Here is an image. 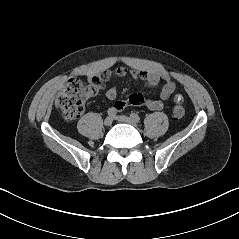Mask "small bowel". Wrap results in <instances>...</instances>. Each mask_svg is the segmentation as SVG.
<instances>
[{
	"instance_id": "obj_1",
	"label": "small bowel",
	"mask_w": 239,
	"mask_h": 239,
	"mask_svg": "<svg viewBox=\"0 0 239 239\" xmlns=\"http://www.w3.org/2000/svg\"><path fill=\"white\" fill-rule=\"evenodd\" d=\"M130 75L133 79L142 80L147 87H155L160 82H164V85L161 89L160 95L158 99H146L140 94H132L126 101H115L112 108H114L117 112L122 111L129 105H140L145 106L146 108L154 111H158L163 109L164 101L168 100L172 97L176 92V85L171 80L170 76L166 73H159L155 71H147V70H137V69H127L126 67H118L112 73L110 71H106L100 74H91L88 76V82L90 84L91 92L90 95L93 96L99 92L98 83L103 81H107L112 77L122 78L126 75ZM106 97L114 101L117 98V91L115 88H109L106 91Z\"/></svg>"
}]
</instances>
